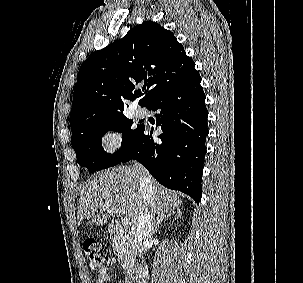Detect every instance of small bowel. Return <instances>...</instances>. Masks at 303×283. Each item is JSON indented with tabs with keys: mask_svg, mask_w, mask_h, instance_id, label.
I'll use <instances>...</instances> for the list:
<instances>
[{
	"mask_svg": "<svg viewBox=\"0 0 303 283\" xmlns=\"http://www.w3.org/2000/svg\"><path fill=\"white\" fill-rule=\"evenodd\" d=\"M115 258H109L106 265L99 271L95 283H107L110 280L109 266L115 264Z\"/></svg>",
	"mask_w": 303,
	"mask_h": 283,
	"instance_id": "small-bowel-1",
	"label": "small bowel"
}]
</instances>
